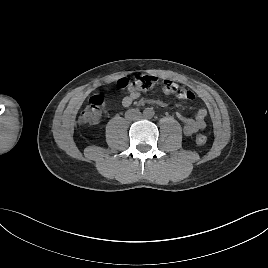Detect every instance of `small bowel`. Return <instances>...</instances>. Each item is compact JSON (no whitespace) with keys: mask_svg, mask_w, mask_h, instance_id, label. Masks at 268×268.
I'll use <instances>...</instances> for the list:
<instances>
[{"mask_svg":"<svg viewBox=\"0 0 268 268\" xmlns=\"http://www.w3.org/2000/svg\"><path fill=\"white\" fill-rule=\"evenodd\" d=\"M140 95L141 91L139 89H131L129 94L123 97L122 105L129 107ZM176 116L182 123L183 132L186 136H191L206 127L207 110L204 108L199 109L193 118L186 117L180 113H177Z\"/></svg>","mask_w":268,"mask_h":268,"instance_id":"small-bowel-1","label":"small bowel"}]
</instances>
